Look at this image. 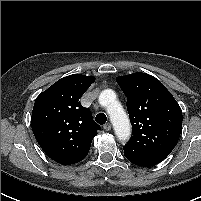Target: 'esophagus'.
<instances>
[{
	"label": "esophagus",
	"instance_id": "obj_1",
	"mask_svg": "<svg viewBox=\"0 0 201 201\" xmlns=\"http://www.w3.org/2000/svg\"><path fill=\"white\" fill-rule=\"evenodd\" d=\"M104 130L105 131H110L111 130V124L110 123H106L104 126H103Z\"/></svg>",
	"mask_w": 201,
	"mask_h": 201
}]
</instances>
